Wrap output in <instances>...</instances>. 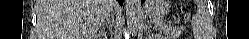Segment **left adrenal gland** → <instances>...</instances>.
Listing matches in <instances>:
<instances>
[{
  "mask_svg": "<svg viewBox=\"0 0 249 39\" xmlns=\"http://www.w3.org/2000/svg\"><path fill=\"white\" fill-rule=\"evenodd\" d=\"M148 25H149V28L151 27V24L149 23V21H148Z\"/></svg>",
  "mask_w": 249,
  "mask_h": 39,
  "instance_id": "a2214340",
  "label": "left adrenal gland"
}]
</instances>
